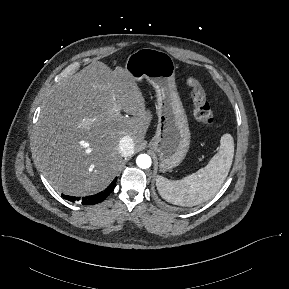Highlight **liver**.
<instances>
[{
  "instance_id": "1",
  "label": "liver",
  "mask_w": 289,
  "mask_h": 289,
  "mask_svg": "<svg viewBox=\"0 0 289 289\" xmlns=\"http://www.w3.org/2000/svg\"><path fill=\"white\" fill-rule=\"evenodd\" d=\"M131 115L113 113V108ZM136 80L100 61L59 83L43 103L34 151L44 175L61 193L86 196L106 188L122 162L119 142L139 147L151 122Z\"/></svg>"
}]
</instances>
